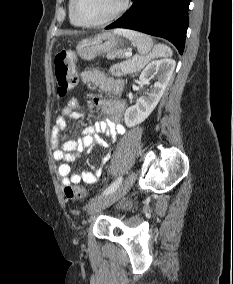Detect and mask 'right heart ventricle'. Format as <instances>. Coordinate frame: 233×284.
I'll return each instance as SVG.
<instances>
[{
	"label": "right heart ventricle",
	"mask_w": 233,
	"mask_h": 284,
	"mask_svg": "<svg viewBox=\"0 0 233 284\" xmlns=\"http://www.w3.org/2000/svg\"><path fill=\"white\" fill-rule=\"evenodd\" d=\"M72 8H73V0H69V2H68V12H69V20H70V23H71L72 25H74V26H77V27L82 26V25L76 20V18L74 17Z\"/></svg>",
	"instance_id": "right-heart-ventricle-1"
}]
</instances>
